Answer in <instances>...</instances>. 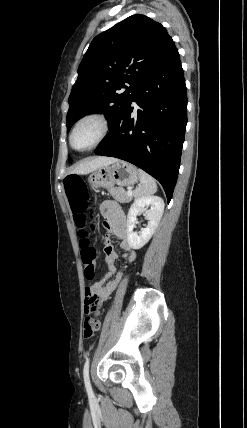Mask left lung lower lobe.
Listing matches in <instances>:
<instances>
[{
    "instance_id": "left-lung-lower-lobe-1",
    "label": "left lung lower lobe",
    "mask_w": 247,
    "mask_h": 428,
    "mask_svg": "<svg viewBox=\"0 0 247 428\" xmlns=\"http://www.w3.org/2000/svg\"><path fill=\"white\" fill-rule=\"evenodd\" d=\"M133 102L138 105L136 109ZM186 124L187 92L176 48L138 85L95 154L116 157L143 169L161 183L170 202Z\"/></svg>"
}]
</instances>
